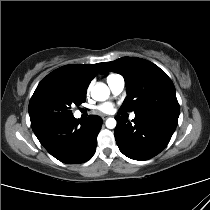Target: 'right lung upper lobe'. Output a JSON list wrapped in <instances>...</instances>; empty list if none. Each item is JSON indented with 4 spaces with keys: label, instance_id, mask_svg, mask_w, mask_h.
Segmentation results:
<instances>
[{
    "label": "right lung upper lobe",
    "instance_id": "1",
    "mask_svg": "<svg viewBox=\"0 0 210 210\" xmlns=\"http://www.w3.org/2000/svg\"><path fill=\"white\" fill-rule=\"evenodd\" d=\"M103 63L94 65H66L48 74L37 86L29 103V114L32 113L37 96L53 86H72L85 91L91 80L98 74Z\"/></svg>",
    "mask_w": 210,
    "mask_h": 210
}]
</instances>
